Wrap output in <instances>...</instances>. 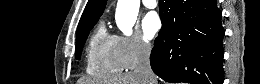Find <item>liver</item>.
Instances as JSON below:
<instances>
[{"label":"liver","mask_w":260,"mask_h":84,"mask_svg":"<svg viewBox=\"0 0 260 84\" xmlns=\"http://www.w3.org/2000/svg\"><path fill=\"white\" fill-rule=\"evenodd\" d=\"M83 84H144L142 78L134 72L123 75H114L104 79H87Z\"/></svg>","instance_id":"obj_1"}]
</instances>
